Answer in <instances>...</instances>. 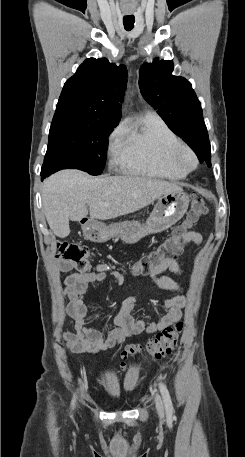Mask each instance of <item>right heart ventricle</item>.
Here are the masks:
<instances>
[{
    "label": "right heart ventricle",
    "instance_id": "obj_1",
    "mask_svg": "<svg viewBox=\"0 0 245 457\" xmlns=\"http://www.w3.org/2000/svg\"><path fill=\"white\" fill-rule=\"evenodd\" d=\"M180 142V138L163 119L157 115H146L123 129L121 144L112 149V154L115 159L140 173L180 180L187 173L162 165L156 159L158 152Z\"/></svg>",
    "mask_w": 245,
    "mask_h": 457
}]
</instances>
